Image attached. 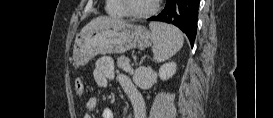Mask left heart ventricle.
<instances>
[{"label": "left heart ventricle", "mask_w": 273, "mask_h": 118, "mask_svg": "<svg viewBox=\"0 0 273 118\" xmlns=\"http://www.w3.org/2000/svg\"><path fill=\"white\" fill-rule=\"evenodd\" d=\"M154 0H129V9L135 12H144L149 10Z\"/></svg>", "instance_id": "1"}]
</instances>
